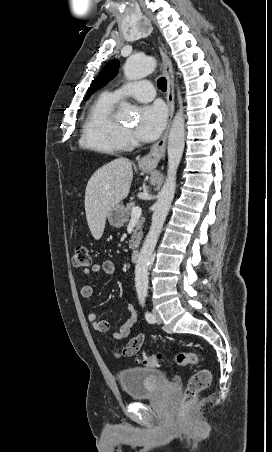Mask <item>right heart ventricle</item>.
<instances>
[{
	"mask_svg": "<svg viewBox=\"0 0 272 452\" xmlns=\"http://www.w3.org/2000/svg\"><path fill=\"white\" fill-rule=\"evenodd\" d=\"M117 102L110 93H102L84 120L80 146L96 152L116 154L126 147L123 128L113 115Z\"/></svg>",
	"mask_w": 272,
	"mask_h": 452,
	"instance_id": "right-heart-ventricle-1",
	"label": "right heart ventricle"
}]
</instances>
